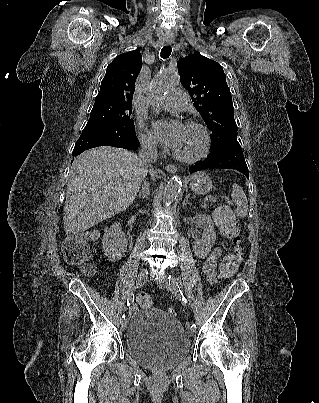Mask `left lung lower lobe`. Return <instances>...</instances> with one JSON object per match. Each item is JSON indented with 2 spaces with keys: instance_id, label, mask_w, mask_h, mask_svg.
<instances>
[{
  "instance_id": "0a47b994",
  "label": "left lung lower lobe",
  "mask_w": 319,
  "mask_h": 403,
  "mask_svg": "<svg viewBox=\"0 0 319 403\" xmlns=\"http://www.w3.org/2000/svg\"><path fill=\"white\" fill-rule=\"evenodd\" d=\"M212 168L235 169L249 178L248 167L238 142L230 143L216 152H210L204 161L192 165L190 173Z\"/></svg>"
}]
</instances>
